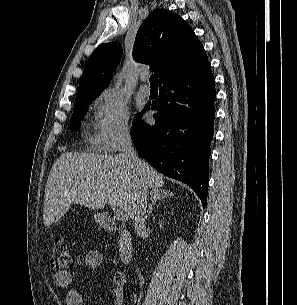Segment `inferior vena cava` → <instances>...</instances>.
Segmentation results:
<instances>
[{"mask_svg": "<svg viewBox=\"0 0 297 305\" xmlns=\"http://www.w3.org/2000/svg\"><path fill=\"white\" fill-rule=\"evenodd\" d=\"M122 140V155L135 179L134 202L132 208L135 218V229L140 236L146 231L145 212L147 205V185L142 173V162L134 150L132 139L128 131L124 132Z\"/></svg>", "mask_w": 297, "mask_h": 305, "instance_id": "inferior-vena-cava-1", "label": "inferior vena cava"}]
</instances>
